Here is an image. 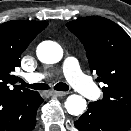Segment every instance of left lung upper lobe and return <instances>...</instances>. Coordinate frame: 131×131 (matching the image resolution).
I'll use <instances>...</instances> for the list:
<instances>
[{"label":"left lung upper lobe","mask_w":131,"mask_h":131,"mask_svg":"<svg viewBox=\"0 0 131 131\" xmlns=\"http://www.w3.org/2000/svg\"><path fill=\"white\" fill-rule=\"evenodd\" d=\"M66 25L84 45L96 81L105 84L103 99L91 104L120 126L131 128V38L118 24L99 16Z\"/></svg>","instance_id":"obj_1"}]
</instances>
